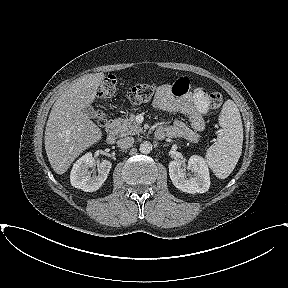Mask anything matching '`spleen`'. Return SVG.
<instances>
[{
  "instance_id": "1",
  "label": "spleen",
  "mask_w": 288,
  "mask_h": 288,
  "mask_svg": "<svg viewBox=\"0 0 288 288\" xmlns=\"http://www.w3.org/2000/svg\"><path fill=\"white\" fill-rule=\"evenodd\" d=\"M221 126L216 142L206 152V162L219 179L227 178L242 153L243 126L239 109L227 100L221 110Z\"/></svg>"
}]
</instances>
